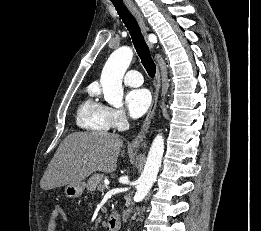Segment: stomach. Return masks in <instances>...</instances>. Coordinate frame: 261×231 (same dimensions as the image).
Segmentation results:
<instances>
[{
	"label": "stomach",
	"mask_w": 261,
	"mask_h": 231,
	"mask_svg": "<svg viewBox=\"0 0 261 231\" xmlns=\"http://www.w3.org/2000/svg\"><path fill=\"white\" fill-rule=\"evenodd\" d=\"M84 189H85V183L81 181L76 184H68L65 187L64 192L66 197L68 198H77L83 194Z\"/></svg>",
	"instance_id": "0dacf381"
}]
</instances>
